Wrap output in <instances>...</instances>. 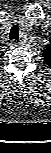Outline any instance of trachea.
<instances>
[{
	"label": "trachea",
	"mask_w": 51,
	"mask_h": 153,
	"mask_svg": "<svg viewBox=\"0 0 51 153\" xmlns=\"http://www.w3.org/2000/svg\"><path fill=\"white\" fill-rule=\"evenodd\" d=\"M10 40H18L19 39V27L17 25H14L9 34Z\"/></svg>",
	"instance_id": "trachea-1"
}]
</instances>
